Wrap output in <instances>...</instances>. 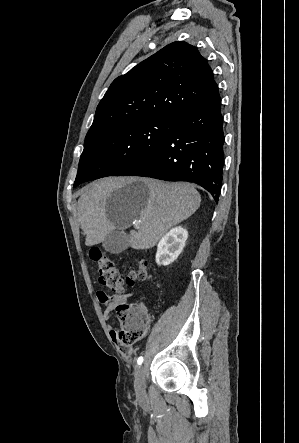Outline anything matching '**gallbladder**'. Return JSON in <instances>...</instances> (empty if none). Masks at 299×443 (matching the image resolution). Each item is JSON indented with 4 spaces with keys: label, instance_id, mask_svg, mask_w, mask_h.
I'll return each instance as SVG.
<instances>
[{
    "label": "gallbladder",
    "instance_id": "obj_1",
    "mask_svg": "<svg viewBox=\"0 0 299 443\" xmlns=\"http://www.w3.org/2000/svg\"><path fill=\"white\" fill-rule=\"evenodd\" d=\"M129 235L123 231H113L102 243L103 248L111 254H119L127 249Z\"/></svg>",
    "mask_w": 299,
    "mask_h": 443
}]
</instances>
